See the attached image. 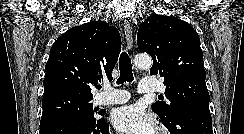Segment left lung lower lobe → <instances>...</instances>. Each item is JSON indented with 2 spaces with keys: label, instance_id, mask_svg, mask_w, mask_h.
I'll return each mask as SVG.
<instances>
[{
  "label": "left lung lower lobe",
  "instance_id": "left-lung-lower-lobe-1",
  "mask_svg": "<svg viewBox=\"0 0 244 134\" xmlns=\"http://www.w3.org/2000/svg\"><path fill=\"white\" fill-rule=\"evenodd\" d=\"M171 134H212L210 113L184 108L177 110L169 120H162Z\"/></svg>",
  "mask_w": 244,
  "mask_h": 134
}]
</instances>
